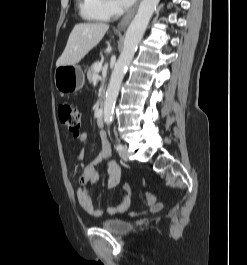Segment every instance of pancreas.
<instances>
[{"instance_id": "obj_1", "label": "pancreas", "mask_w": 247, "mask_h": 265, "mask_svg": "<svg viewBox=\"0 0 247 265\" xmlns=\"http://www.w3.org/2000/svg\"><path fill=\"white\" fill-rule=\"evenodd\" d=\"M97 65H100V63L99 62L93 63L87 71V79L89 80V82H91L93 80V77L97 75V72L95 69Z\"/></svg>"}]
</instances>
